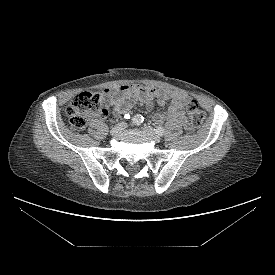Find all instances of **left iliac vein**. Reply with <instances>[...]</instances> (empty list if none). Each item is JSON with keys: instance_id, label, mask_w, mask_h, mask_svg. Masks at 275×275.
Here are the masks:
<instances>
[{"instance_id": "1", "label": "left iliac vein", "mask_w": 275, "mask_h": 275, "mask_svg": "<svg viewBox=\"0 0 275 275\" xmlns=\"http://www.w3.org/2000/svg\"><path fill=\"white\" fill-rule=\"evenodd\" d=\"M142 130L156 143L160 142V136L156 133L155 129H153L151 126L144 125L142 127Z\"/></svg>"}]
</instances>
